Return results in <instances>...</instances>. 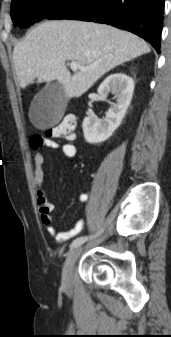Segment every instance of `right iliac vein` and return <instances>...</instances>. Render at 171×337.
I'll return each mask as SVG.
<instances>
[{
  "instance_id": "right-iliac-vein-1",
  "label": "right iliac vein",
  "mask_w": 171,
  "mask_h": 337,
  "mask_svg": "<svg viewBox=\"0 0 171 337\" xmlns=\"http://www.w3.org/2000/svg\"><path fill=\"white\" fill-rule=\"evenodd\" d=\"M81 253V247H76L70 251L68 254L62 272V285L67 293L72 292L73 285V268L75 262L77 261L79 255Z\"/></svg>"
}]
</instances>
